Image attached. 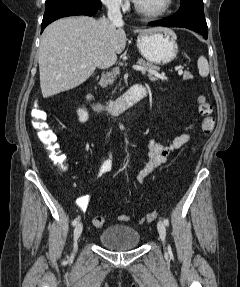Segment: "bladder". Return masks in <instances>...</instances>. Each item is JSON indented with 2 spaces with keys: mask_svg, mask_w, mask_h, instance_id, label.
<instances>
[{
  "mask_svg": "<svg viewBox=\"0 0 240 287\" xmlns=\"http://www.w3.org/2000/svg\"><path fill=\"white\" fill-rule=\"evenodd\" d=\"M101 245L113 250H128L140 243L137 229L125 225H113L104 229L98 238Z\"/></svg>",
  "mask_w": 240,
  "mask_h": 287,
  "instance_id": "obj_1",
  "label": "bladder"
}]
</instances>
